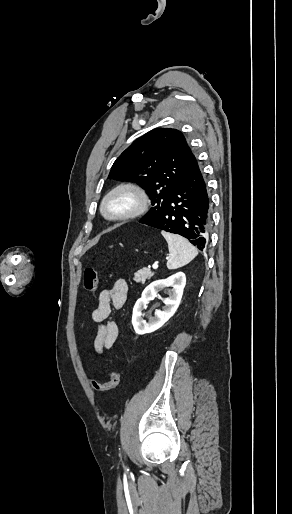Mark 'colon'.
I'll return each instance as SVG.
<instances>
[{
	"label": "colon",
	"instance_id": "1",
	"mask_svg": "<svg viewBox=\"0 0 292 514\" xmlns=\"http://www.w3.org/2000/svg\"><path fill=\"white\" fill-rule=\"evenodd\" d=\"M99 269L96 267H89L84 272L83 286L87 293L95 294L98 291L99 284ZM120 382L119 373L114 369H108V381L103 384L98 382L94 383L96 391H112L116 389Z\"/></svg>",
	"mask_w": 292,
	"mask_h": 514
}]
</instances>
